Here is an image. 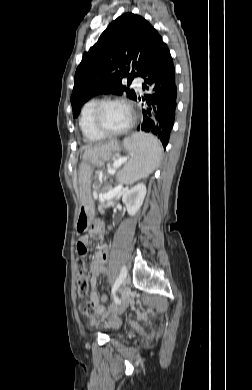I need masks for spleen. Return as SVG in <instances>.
Returning a JSON list of instances; mask_svg holds the SVG:
<instances>
[{
    "label": "spleen",
    "instance_id": "obj_1",
    "mask_svg": "<svg viewBox=\"0 0 252 390\" xmlns=\"http://www.w3.org/2000/svg\"><path fill=\"white\" fill-rule=\"evenodd\" d=\"M124 146L131 152V157L118 174L120 182L131 185L151 174L162 157L159 140L145 133H136L124 140Z\"/></svg>",
    "mask_w": 252,
    "mask_h": 390
}]
</instances>
